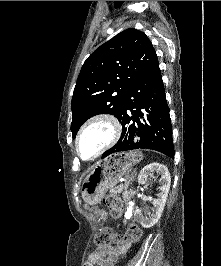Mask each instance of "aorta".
Listing matches in <instances>:
<instances>
[{"label":"aorta","instance_id":"aorta-1","mask_svg":"<svg viewBox=\"0 0 221 266\" xmlns=\"http://www.w3.org/2000/svg\"><path fill=\"white\" fill-rule=\"evenodd\" d=\"M129 204H130V206H129V208H128V210H127V213H126V216H127V217H129V216L131 215L132 205H133L131 202H130Z\"/></svg>","mask_w":221,"mask_h":266}]
</instances>
